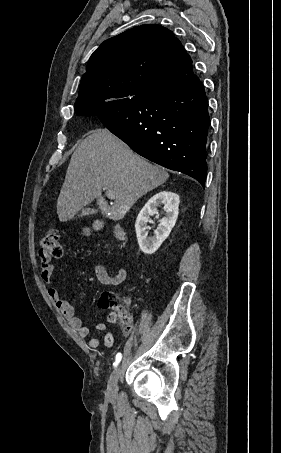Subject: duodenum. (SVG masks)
I'll use <instances>...</instances> for the list:
<instances>
[{"label":"duodenum","mask_w":281,"mask_h":453,"mask_svg":"<svg viewBox=\"0 0 281 453\" xmlns=\"http://www.w3.org/2000/svg\"><path fill=\"white\" fill-rule=\"evenodd\" d=\"M118 235H119V236H122V232H121V231H118Z\"/></svg>","instance_id":"410a0bca"}]
</instances>
